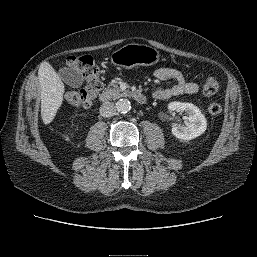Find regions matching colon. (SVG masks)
<instances>
[{
    "mask_svg": "<svg viewBox=\"0 0 257 257\" xmlns=\"http://www.w3.org/2000/svg\"><path fill=\"white\" fill-rule=\"evenodd\" d=\"M64 64L79 71L86 81V85L81 90H71L66 93V100L74 106L88 107L92 104L95 96L102 88L99 77V69L94 59L90 55L68 57ZM219 84L213 77H209L203 84V93L211 96L217 93ZM208 111L211 115H218L222 111L219 102H211Z\"/></svg>",
    "mask_w": 257,
    "mask_h": 257,
    "instance_id": "5ec220e1",
    "label": "colon"
}]
</instances>
